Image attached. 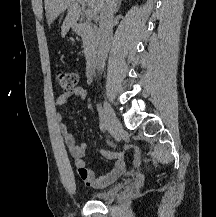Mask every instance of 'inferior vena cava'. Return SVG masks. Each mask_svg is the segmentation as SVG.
<instances>
[{
	"mask_svg": "<svg viewBox=\"0 0 216 217\" xmlns=\"http://www.w3.org/2000/svg\"><path fill=\"white\" fill-rule=\"evenodd\" d=\"M117 9V0H104L99 20L98 70L103 71L113 34L114 14Z\"/></svg>",
	"mask_w": 216,
	"mask_h": 217,
	"instance_id": "602c4592",
	"label": "inferior vena cava"
}]
</instances>
